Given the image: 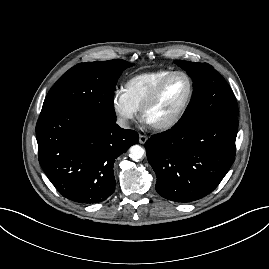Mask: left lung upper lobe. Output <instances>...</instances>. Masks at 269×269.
I'll use <instances>...</instances> for the list:
<instances>
[{"label": "left lung upper lobe", "instance_id": "left-lung-upper-lobe-1", "mask_svg": "<svg viewBox=\"0 0 269 269\" xmlns=\"http://www.w3.org/2000/svg\"><path fill=\"white\" fill-rule=\"evenodd\" d=\"M193 80L194 92L178 127H185L202 119L221 115H238L235 95L224 78L207 63L174 61Z\"/></svg>", "mask_w": 269, "mask_h": 269}]
</instances>
